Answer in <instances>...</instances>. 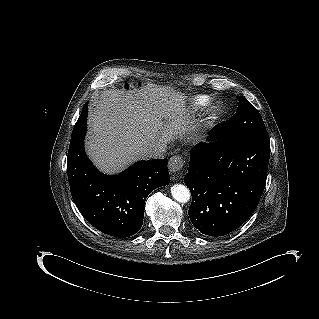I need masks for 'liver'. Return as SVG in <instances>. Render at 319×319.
<instances>
[{
	"mask_svg": "<svg viewBox=\"0 0 319 319\" xmlns=\"http://www.w3.org/2000/svg\"><path fill=\"white\" fill-rule=\"evenodd\" d=\"M190 123L185 97L168 87L103 91L89 106L86 152L104 173L146 159L142 149L166 147Z\"/></svg>",
	"mask_w": 319,
	"mask_h": 319,
	"instance_id": "obj_1",
	"label": "liver"
}]
</instances>
